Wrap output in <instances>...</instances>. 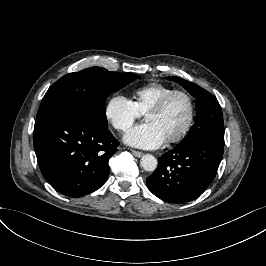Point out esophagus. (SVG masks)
<instances>
[{
    "mask_svg": "<svg viewBox=\"0 0 266 266\" xmlns=\"http://www.w3.org/2000/svg\"><path fill=\"white\" fill-rule=\"evenodd\" d=\"M131 152H132L133 155H135L136 157H141V156L143 155V152H141V151L131 150Z\"/></svg>",
    "mask_w": 266,
    "mask_h": 266,
    "instance_id": "obj_1",
    "label": "esophagus"
}]
</instances>
